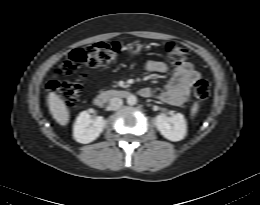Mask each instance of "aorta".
Segmentation results:
<instances>
[{
  "instance_id": "obj_1",
  "label": "aorta",
  "mask_w": 260,
  "mask_h": 205,
  "mask_svg": "<svg viewBox=\"0 0 260 205\" xmlns=\"http://www.w3.org/2000/svg\"><path fill=\"white\" fill-rule=\"evenodd\" d=\"M127 103L129 104V105H135L136 103H137V98H136V96L135 95H129L128 97H127Z\"/></svg>"
}]
</instances>
